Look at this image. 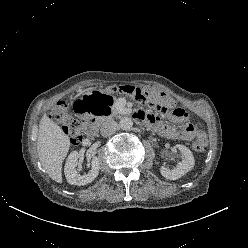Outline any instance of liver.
<instances>
[{
  "label": "liver",
  "instance_id": "1",
  "mask_svg": "<svg viewBox=\"0 0 248 248\" xmlns=\"http://www.w3.org/2000/svg\"><path fill=\"white\" fill-rule=\"evenodd\" d=\"M69 148V137L44 114L39 124L37 152L46 173L57 183H62V163Z\"/></svg>",
  "mask_w": 248,
  "mask_h": 248
}]
</instances>
